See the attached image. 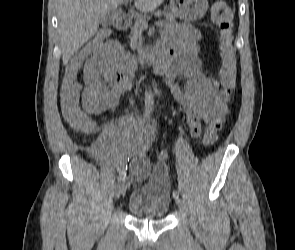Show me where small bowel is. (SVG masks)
Segmentation results:
<instances>
[{
  "instance_id": "obj_1",
  "label": "small bowel",
  "mask_w": 295,
  "mask_h": 250,
  "mask_svg": "<svg viewBox=\"0 0 295 250\" xmlns=\"http://www.w3.org/2000/svg\"><path fill=\"white\" fill-rule=\"evenodd\" d=\"M200 34L188 25L169 28L160 38L157 47L166 55V63L156 67L173 96L182 106L190 132L200 137L204 125L222 126L229 113L231 94L221 88L218 81L202 69L198 57ZM121 45L108 41L98 54L81 50L66 67V77L83 81L82 102L88 109L98 112L114 108L120 97L131 88V79L118 74V66L124 58ZM153 140V129L131 119H125L110 127L104 135L107 155L124 163L132 157L129 167L133 180L143 179L150 171L146 156ZM167 157L163 152L160 158Z\"/></svg>"
}]
</instances>
